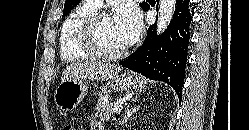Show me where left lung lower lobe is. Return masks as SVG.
Here are the masks:
<instances>
[{
	"label": "left lung lower lobe",
	"mask_w": 249,
	"mask_h": 130,
	"mask_svg": "<svg viewBox=\"0 0 249 130\" xmlns=\"http://www.w3.org/2000/svg\"><path fill=\"white\" fill-rule=\"evenodd\" d=\"M191 21L189 0H176L172 20L164 33L157 36L154 28L149 27L143 45L119 64L169 84L181 100Z\"/></svg>",
	"instance_id": "0a47b994"
}]
</instances>
